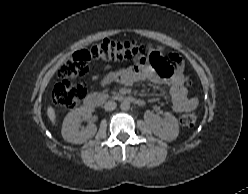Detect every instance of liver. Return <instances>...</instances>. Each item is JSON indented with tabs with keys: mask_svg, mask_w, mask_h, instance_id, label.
<instances>
[{
	"mask_svg": "<svg viewBox=\"0 0 248 194\" xmlns=\"http://www.w3.org/2000/svg\"><path fill=\"white\" fill-rule=\"evenodd\" d=\"M47 116L49 117L52 124L55 125L56 124V113H55V109L52 106H48Z\"/></svg>",
	"mask_w": 248,
	"mask_h": 194,
	"instance_id": "6515ba94",
	"label": "liver"
}]
</instances>
